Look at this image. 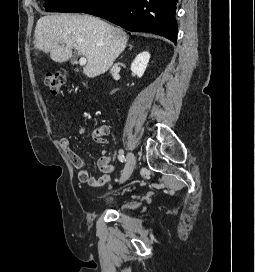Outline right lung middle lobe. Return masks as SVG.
<instances>
[{
    "mask_svg": "<svg viewBox=\"0 0 255 272\" xmlns=\"http://www.w3.org/2000/svg\"><path fill=\"white\" fill-rule=\"evenodd\" d=\"M45 10L49 12L82 13L98 0H44Z\"/></svg>",
    "mask_w": 255,
    "mask_h": 272,
    "instance_id": "1",
    "label": "right lung middle lobe"
}]
</instances>
